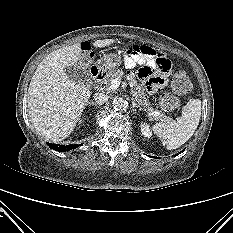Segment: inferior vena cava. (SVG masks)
<instances>
[{"instance_id":"obj_1","label":"inferior vena cava","mask_w":233,"mask_h":233,"mask_svg":"<svg viewBox=\"0 0 233 233\" xmlns=\"http://www.w3.org/2000/svg\"><path fill=\"white\" fill-rule=\"evenodd\" d=\"M109 96L107 94L104 93H96L94 95V102L96 104L102 105L104 104L107 100H108Z\"/></svg>"}]
</instances>
